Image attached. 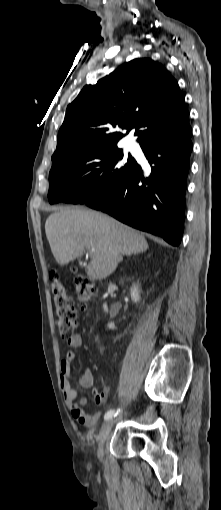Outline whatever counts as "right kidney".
<instances>
[{"label": "right kidney", "mask_w": 221, "mask_h": 510, "mask_svg": "<svg viewBox=\"0 0 221 510\" xmlns=\"http://www.w3.org/2000/svg\"><path fill=\"white\" fill-rule=\"evenodd\" d=\"M131 299L134 303H137L140 300V294L137 285H133L131 288ZM109 329H115V325L113 323L108 324Z\"/></svg>", "instance_id": "obj_1"}]
</instances>
